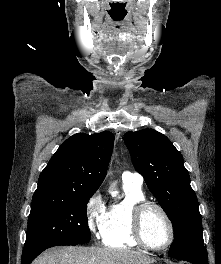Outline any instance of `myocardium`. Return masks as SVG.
<instances>
[{
    "mask_svg": "<svg viewBox=\"0 0 221 264\" xmlns=\"http://www.w3.org/2000/svg\"><path fill=\"white\" fill-rule=\"evenodd\" d=\"M150 208H155L162 214L169 228V239L162 246L150 245L146 241L143 235V218H144L146 211ZM130 226H131V233H132L134 240L140 246L148 250L163 251L169 248L174 241L175 229H174L172 219L167 213V211L158 203L148 201V200H143V201L136 203L131 210Z\"/></svg>",
    "mask_w": 221,
    "mask_h": 264,
    "instance_id": "1",
    "label": "myocardium"
}]
</instances>
